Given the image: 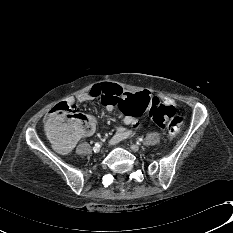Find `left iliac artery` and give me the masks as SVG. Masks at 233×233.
<instances>
[{"label": "left iliac artery", "mask_w": 233, "mask_h": 233, "mask_svg": "<svg viewBox=\"0 0 233 233\" xmlns=\"http://www.w3.org/2000/svg\"><path fill=\"white\" fill-rule=\"evenodd\" d=\"M143 141V138H139L137 143L139 144V142H142Z\"/></svg>", "instance_id": "left-iliac-artery-1"}]
</instances>
